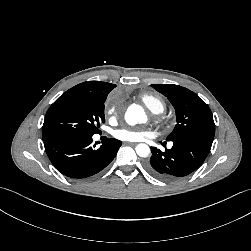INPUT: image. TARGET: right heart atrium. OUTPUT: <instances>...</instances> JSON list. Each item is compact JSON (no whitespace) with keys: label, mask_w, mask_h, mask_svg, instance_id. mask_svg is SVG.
I'll list each match as a JSON object with an SVG mask.
<instances>
[{"label":"right heart atrium","mask_w":251,"mask_h":251,"mask_svg":"<svg viewBox=\"0 0 251 251\" xmlns=\"http://www.w3.org/2000/svg\"><path fill=\"white\" fill-rule=\"evenodd\" d=\"M119 110H120V107L114 102L108 103L105 108V112L110 118L116 117Z\"/></svg>","instance_id":"1"}]
</instances>
